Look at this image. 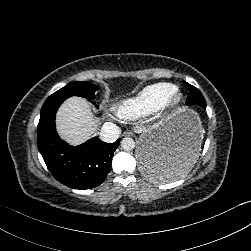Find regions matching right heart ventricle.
Listing matches in <instances>:
<instances>
[{
  "instance_id": "obj_1",
  "label": "right heart ventricle",
  "mask_w": 251,
  "mask_h": 251,
  "mask_svg": "<svg viewBox=\"0 0 251 251\" xmlns=\"http://www.w3.org/2000/svg\"><path fill=\"white\" fill-rule=\"evenodd\" d=\"M171 88L172 83L169 82H160L144 87L119 107V115L131 119L152 113Z\"/></svg>"
}]
</instances>
